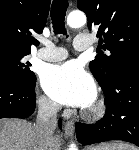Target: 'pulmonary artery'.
I'll use <instances>...</instances> for the list:
<instances>
[{
  "instance_id": "pulmonary-artery-1",
  "label": "pulmonary artery",
  "mask_w": 139,
  "mask_h": 150,
  "mask_svg": "<svg viewBox=\"0 0 139 150\" xmlns=\"http://www.w3.org/2000/svg\"><path fill=\"white\" fill-rule=\"evenodd\" d=\"M45 47L37 52V56L45 61H61L67 58L68 52L63 47H57L49 41L44 42ZM92 46V40L87 35H78L74 41V48L77 51L88 50Z\"/></svg>"
}]
</instances>
